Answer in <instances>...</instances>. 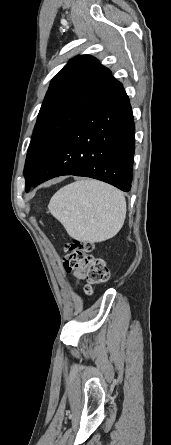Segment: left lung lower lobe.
I'll use <instances>...</instances> for the list:
<instances>
[{
  "label": "left lung lower lobe",
  "instance_id": "1",
  "mask_svg": "<svg viewBox=\"0 0 171 445\" xmlns=\"http://www.w3.org/2000/svg\"><path fill=\"white\" fill-rule=\"evenodd\" d=\"M135 126L128 96L121 86L93 106L64 135L25 191L61 176H86L130 191Z\"/></svg>",
  "mask_w": 171,
  "mask_h": 445
}]
</instances>
